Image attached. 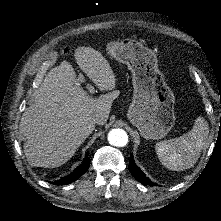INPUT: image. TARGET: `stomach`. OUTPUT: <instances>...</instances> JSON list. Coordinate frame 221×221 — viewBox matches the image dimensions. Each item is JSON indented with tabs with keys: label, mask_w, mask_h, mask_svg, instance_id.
I'll use <instances>...</instances> for the list:
<instances>
[{
	"label": "stomach",
	"mask_w": 221,
	"mask_h": 221,
	"mask_svg": "<svg viewBox=\"0 0 221 221\" xmlns=\"http://www.w3.org/2000/svg\"><path fill=\"white\" fill-rule=\"evenodd\" d=\"M106 53L126 64L132 73L131 123L146 139L165 137L175 123V96L163 81L157 59L147 47L133 41H110Z\"/></svg>",
	"instance_id": "0dacf381"
}]
</instances>
